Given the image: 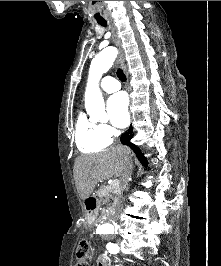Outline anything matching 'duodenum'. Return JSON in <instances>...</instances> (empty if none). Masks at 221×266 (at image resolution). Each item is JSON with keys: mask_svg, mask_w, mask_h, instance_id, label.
Returning a JSON list of instances; mask_svg holds the SVG:
<instances>
[{"mask_svg": "<svg viewBox=\"0 0 221 266\" xmlns=\"http://www.w3.org/2000/svg\"><path fill=\"white\" fill-rule=\"evenodd\" d=\"M97 194H90L89 197L85 200V206L88 213V220L90 223L94 222L96 215V206H97ZM108 216H115V207H108Z\"/></svg>", "mask_w": 221, "mask_h": 266, "instance_id": "duodenum-1", "label": "duodenum"}]
</instances>
